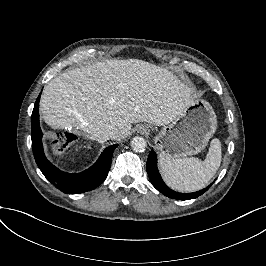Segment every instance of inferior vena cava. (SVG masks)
<instances>
[{"mask_svg":"<svg viewBox=\"0 0 266 266\" xmlns=\"http://www.w3.org/2000/svg\"><path fill=\"white\" fill-rule=\"evenodd\" d=\"M115 133L116 132L113 130L98 131L95 134L94 140L98 141L99 143H103V142L109 140L112 136H114Z\"/></svg>","mask_w":266,"mask_h":266,"instance_id":"1","label":"inferior vena cava"}]
</instances>
